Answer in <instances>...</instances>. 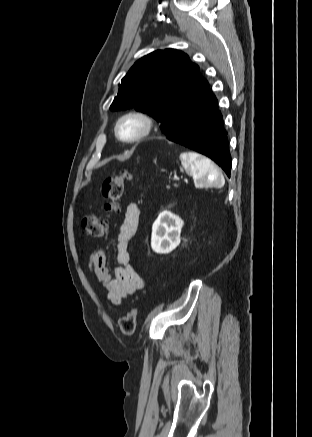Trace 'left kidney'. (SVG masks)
Listing matches in <instances>:
<instances>
[{"mask_svg":"<svg viewBox=\"0 0 312 437\" xmlns=\"http://www.w3.org/2000/svg\"><path fill=\"white\" fill-rule=\"evenodd\" d=\"M183 220L170 211L159 214L152 226L151 247L154 252L168 254L180 244Z\"/></svg>","mask_w":312,"mask_h":437,"instance_id":"5707ae66","label":"left kidney"}]
</instances>
